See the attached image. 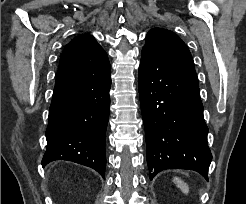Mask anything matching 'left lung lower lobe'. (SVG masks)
I'll use <instances>...</instances> for the list:
<instances>
[{"instance_id": "1", "label": "left lung lower lobe", "mask_w": 246, "mask_h": 204, "mask_svg": "<svg viewBox=\"0 0 246 204\" xmlns=\"http://www.w3.org/2000/svg\"><path fill=\"white\" fill-rule=\"evenodd\" d=\"M138 84L150 179L190 169L208 180L212 154L195 69L142 50Z\"/></svg>"}]
</instances>
